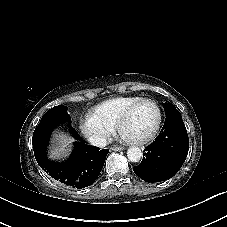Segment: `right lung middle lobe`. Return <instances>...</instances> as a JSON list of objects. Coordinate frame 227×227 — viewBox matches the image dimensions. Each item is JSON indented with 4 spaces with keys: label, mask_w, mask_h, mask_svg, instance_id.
Masks as SVG:
<instances>
[{
    "label": "right lung middle lobe",
    "mask_w": 227,
    "mask_h": 227,
    "mask_svg": "<svg viewBox=\"0 0 227 227\" xmlns=\"http://www.w3.org/2000/svg\"><path fill=\"white\" fill-rule=\"evenodd\" d=\"M61 122H67L70 125L71 119L69 114L67 113V107L59 105L51 108L43 115L37 128H40L43 126H56ZM73 134L75 137H79L77 132L73 131Z\"/></svg>",
    "instance_id": "dd1d6c3e"
}]
</instances>
